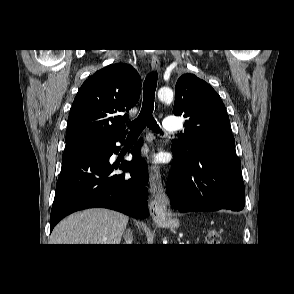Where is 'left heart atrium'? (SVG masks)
I'll return each mask as SVG.
<instances>
[{
    "mask_svg": "<svg viewBox=\"0 0 294 294\" xmlns=\"http://www.w3.org/2000/svg\"><path fill=\"white\" fill-rule=\"evenodd\" d=\"M161 163V158H160V156H155L153 159H152V164L153 165H158V164H160Z\"/></svg>",
    "mask_w": 294,
    "mask_h": 294,
    "instance_id": "1",
    "label": "left heart atrium"
}]
</instances>
